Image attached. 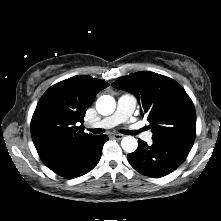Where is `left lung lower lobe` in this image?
Listing matches in <instances>:
<instances>
[{
    "instance_id": "obj_1",
    "label": "left lung lower lobe",
    "mask_w": 221,
    "mask_h": 221,
    "mask_svg": "<svg viewBox=\"0 0 221 221\" xmlns=\"http://www.w3.org/2000/svg\"><path fill=\"white\" fill-rule=\"evenodd\" d=\"M138 141L137 150L128 154L127 159L135 170L149 177L170 174L185 161L192 148L170 141L153 140L151 146Z\"/></svg>"
}]
</instances>
